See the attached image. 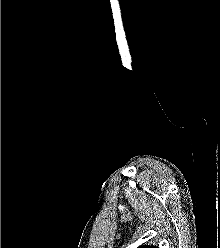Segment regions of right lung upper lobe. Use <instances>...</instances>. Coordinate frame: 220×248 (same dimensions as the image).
Returning <instances> with one entry per match:
<instances>
[{"label":"right lung upper lobe","mask_w":220,"mask_h":248,"mask_svg":"<svg viewBox=\"0 0 220 248\" xmlns=\"http://www.w3.org/2000/svg\"><path fill=\"white\" fill-rule=\"evenodd\" d=\"M138 248H157L156 246H139Z\"/></svg>","instance_id":"right-lung-upper-lobe-1"}]
</instances>
